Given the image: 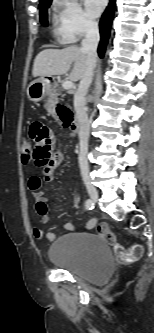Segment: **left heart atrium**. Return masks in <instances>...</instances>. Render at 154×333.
Instances as JSON below:
<instances>
[{"mask_svg":"<svg viewBox=\"0 0 154 333\" xmlns=\"http://www.w3.org/2000/svg\"><path fill=\"white\" fill-rule=\"evenodd\" d=\"M107 0H84L87 12L92 17H97L106 5Z\"/></svg>","mask_w":154,"mask_h":333,"instance_id":"39dd6f15","label":"left heart atrium"}]
</instances>
